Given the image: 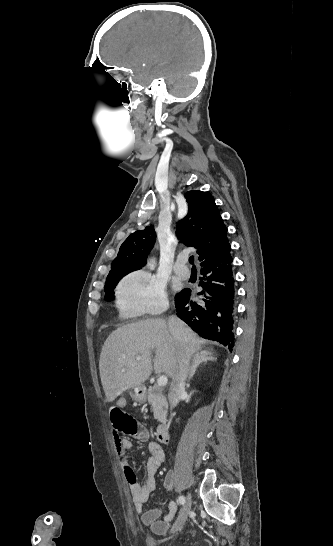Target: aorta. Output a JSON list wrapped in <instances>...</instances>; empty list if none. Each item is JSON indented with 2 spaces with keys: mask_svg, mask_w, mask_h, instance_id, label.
<instances>
[{
  "mask_svg": "<svg viewBox=\"0 0 333 546\" xmlns=\"http://www.w3.org/2000/svg\"><path fill=\"white\" fill-rule=\"evenodd\" d=\"M155 260L154 259H151L150 261H148V267L150 268V270H154L155 269Z\"/></svg>",
  "mask_w": 333,
  "mask_h": 546,
  "instance_id": "obj_1",
  "label": "aorta"
}]
</instances>
